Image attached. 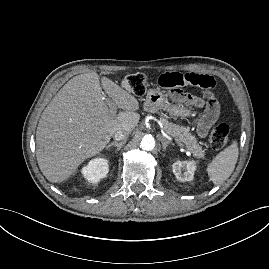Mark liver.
Here are the masks:
<instances>
[{"label": "liver", "mask_w": 269, "mask_h": 269, "mask_svg": "<svg viewBox=\"0 0 269 269\" xmlns=\"http://www.w3.org/2000/svg\"><path fill=\"white\" fill-rule=\"evenodd\" d=\"M101 85L123 111L111 112L96 72L70 79L44 109L36 131V157L48 181H65L118 130L131 132L137 126V99L107 77Z\"/></svg>", "instance_id": "6515ba94"}]
</instances>
